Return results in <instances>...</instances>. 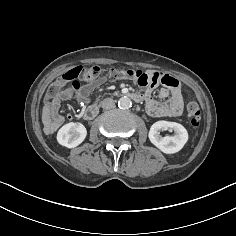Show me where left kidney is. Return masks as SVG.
<instances>
[{
	"mask_svg": "<svg viewBox=\"0 0 236 236\" xmlns=\"http://www.w3.org/2000/svg\"><path fill=\"white\" fill-rule=\"evenodd\" d=\"M169 128L174 130L175 135L162 137L160 131L168 130ZM149 140L163 153L173 154L179 152L184 147L188 141V132L179 123L157 121L150 128Z\"/></svg>",
	"mask_w": 236,
	"mask_h": 236,
	"instance_id": "obj_1",
	"label": "left kidney"
}]
</instances>
